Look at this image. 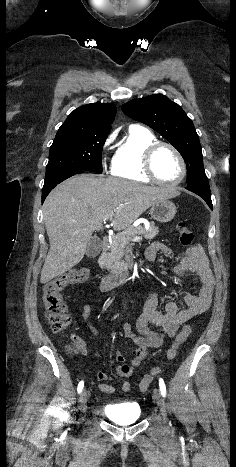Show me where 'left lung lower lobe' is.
Instances as JSON below:
<instances>
[{
	"label": "left lung lower lobe",
	"mask_w": 236,
	"mask_h": 467,
	"mask_svg": "<svg viewBox=\"0 0 236 467\" xmlns=\"http://www.w3.org/2000/svg\"><path fill=\"white\" fill-rule=\"evenodd\" d=\"M186 189L199 195L203 200H205V202L209 205L211 209L213 208L212 201H211L209 182L188 185Z\"/></svg>",
	"instance_id": "obj_1"
}]
</instances>
